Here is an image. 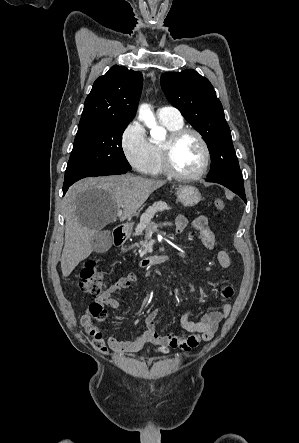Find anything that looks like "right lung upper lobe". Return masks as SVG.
Instances as JSON below:
<instances>
[{"label": "right lung upper lobe", "mask_w": 299, "mask_h": 443, "mask_svg": "<svg viewBox=\"0 0 299 443\" xmlns=\"http://www.w3.org/2000/svg\"><path fill=\"white\" fill-rule=\"evenodd\" d=\"M142 74L118 65L100 76L85 100L78 131L111 123L130 122L142 90Z\"/></svg>", "instance_id": "1"}]
</instances>
